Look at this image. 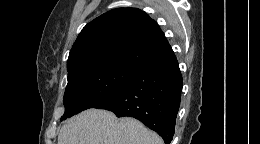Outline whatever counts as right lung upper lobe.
I'll list each match as a JSON object with an SVG mask.
<instances>
[{
  "label": "right lung upper lobe",
  "mask_w": 260,
  "mask_h": 144,
  "mask_svg": "<svg viewBox=\"0 0 260 144\" xmlns=\"http://www.w3.org/2000/svg\"><path fill=\"white\" fill-rule=\"evenodd\" d=\"M157 23L137 8H117L88 23L67 62L68 74L95 65L136 70L172 53Z\"/></svg>",
  "instance_id": "1"
}]
</instances>
